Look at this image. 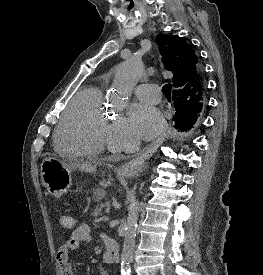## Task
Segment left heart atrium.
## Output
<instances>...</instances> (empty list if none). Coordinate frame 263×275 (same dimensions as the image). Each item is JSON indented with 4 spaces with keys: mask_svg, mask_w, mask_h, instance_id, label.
<instances>
[{
    "mask_svg": "<svg viewBox=\"0 0 263 275\" xmlns=\"http://www.w3.org/2000/svg\"><path fill=\"white\" fill-rule=\"evenodd\" d=\"M163 127V117L154 106L136 103L130 107L128 129L133 136L141 139H151L158 135Z\"/></svg>",
    "mask_w": 263,
    "mask_h": 275,
    "instance_id": "obj_1",
    "label": "left heart atrium"
}]
</instances>
